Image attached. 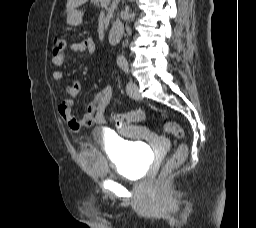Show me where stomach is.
I'll use <instances>...</instances> for the list:
<instances>
[{"instance_id":"0dacf381","label":"stomach","mask_w":256,"mask_h":228,"mask_svg":"<svg viewBox=\"0 0 256 228\" xmlns=\"http://www.w3.org/2000/svg\"><path fill=\"white\" fill-rule=\"evenodd\" d=\"M67 12V23L71 26H78L82 23L83 12L73 8Z\"/></svg>"}]
</instances>
